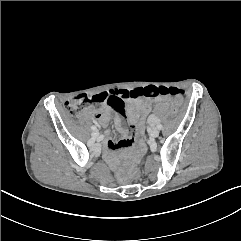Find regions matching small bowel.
Listing matches in <instances>:
<instances>
[{"label":"small bowel","instance_id":"1","mask_svg":"<svg viewBox=\"0 0 241 241\" xmlns=\"http://www.w3.org/2000/svg\"><path fill=\"white\" fill-rule=\"evenodd\" d=\"M118 90H124V89H118ZM109 92V91H108ZM104 92V93H108ZM139 96L142 99H137L138 97L132 98V99H125L123 103V108L125 111V105L126 100L127 102V116L128 120L130 122V126L128 128H125L122 123V114L117 115L114 118L115 125L117 127L118 132L121 134L122 139L119 141L112 140L111 138L107 137L104 140V155L107 161L113 163L114 162V156L113 152L117 149H124L130 147L137 136V128L135 125L142 126L143 125V119L144 116L149 112L150 110V103L147 99L150 96V91L147 88H142L139 91ZM106 107H104L101 111L97 112L93 109H89L86 113L93 117L94 120L101 126L105 127L108 122L111 119L110 116V109L114 108L110 105L105 104Z\"/></svg>","mask_w":241,"mask_h":241}]
</instances>
